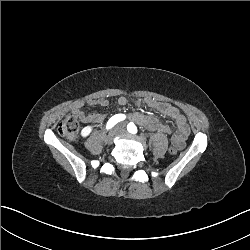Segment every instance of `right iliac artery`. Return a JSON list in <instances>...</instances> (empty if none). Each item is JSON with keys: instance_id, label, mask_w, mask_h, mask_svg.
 <instances>
[{"instance_id": "obj_1", "label": "right iliac artery", "mask_w": 250, "mask_h": 250, "mask_svg": "<svg viewBox=\"0 0 250 250\" xmlns=\"http://www.w3.org/2000/svg\"><path fill=\"white\" fill-rule=\"evenodd\" d=\"M125 118H126V116L124 114L114 115L107 122L106 129H111L114 125H116L118 122L124 120Z\"/></svg>"}]
</instances>
